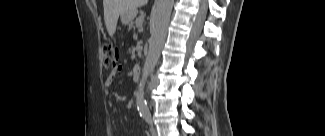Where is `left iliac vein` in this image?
Instances as JSON below:
<instances>
[{
    "mask_svg": "<svg viewBox=\"0 0 325 136\" xmlns=\"http://www.w3.org/2000/svg\"><path fill=\"white\" fill-rule=\"evenodd\" d=\"M150 130H151V134H152L153 136H156L157 131H156L155 126L152 125L151 128H150Z\"/></svg>",
    "mask_w": 325,
    "mask_h": 136,
    "instance_id": "obj_1",
    "label": "left iliac vein"
}]
</instances>
